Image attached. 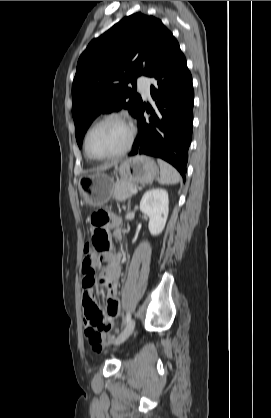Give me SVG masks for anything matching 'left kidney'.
<instances>
[{"mask_svg": "<svg viewBox=\"0 0 271 418\" xmlns=\"http://www.w3.org/2000/svg\"><path fill=\"white\" fill-rule=\"evenodd\" d=\"M140 210L149 217L150 233L159 235L166 225L169 213L168 192L161 188L147 191L140 201Z\"/></svg>", "mask_w": 271, "mask_h": 418, "instance_id": "1", "label": "left kidney"}]
</instances>
